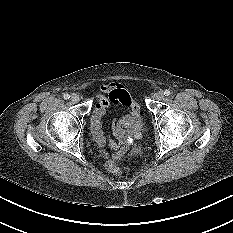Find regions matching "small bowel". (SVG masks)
Instances as JSON below:
<instances>
[{"label":"small bowel","mask_w":233,"mask_h":233,"mask_svg":"<svg viewBox=\"0 0 233 233\" xmlns=\"http://www.w3.org/2000/svg\"><path fill=\"white\" fill-rule=\"evenodd\" d=\"M97 103L91 116V126L94 136L100 146H104L106 139L102 130V121L106 115L107 109L111 105H124L131 110V113L135 117L141 115L139 105L132 99L130 94L120 85L112 82H104L100 86V93L96 95ZM116 135L119 142H109L110 148L117 151L113 155V159H120L127 151L128 145L124 144V134L120 129H116ZM104 157H108V154L103 150Z\"/></svg>","instance_id":"1"}]
</instances>
